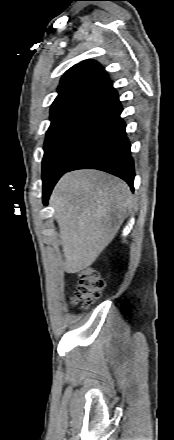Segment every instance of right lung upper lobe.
I'll use <instances>...</instances> for the list:
<instances>
[{"instance_id":"obj_1","label":"right lung upper lobe","mask_w":174,"mask_h":440,"mask_svg":"<svg viewBox=\"0 0 174 440\" xmlns=\"http://www.w3.org/2000/svg\"><path fill=\"white\" fill-rule=\"evenodd\" d=\"M112 87V83L101 65L85 60L71 67L62 77L58 96L50 113L54 114L82 100L99 97Z\"/></svg>"}]
</instances>
